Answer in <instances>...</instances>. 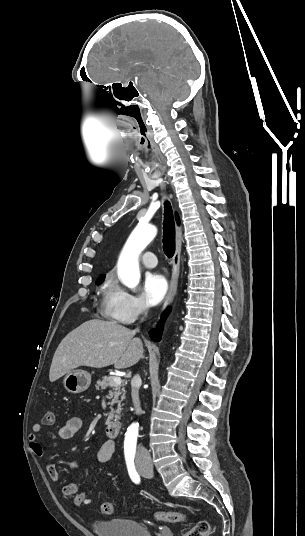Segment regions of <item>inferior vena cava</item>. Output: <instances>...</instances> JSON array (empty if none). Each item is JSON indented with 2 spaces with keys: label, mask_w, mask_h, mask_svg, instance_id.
<instances>
[{
  "label": "inferior vena cava",
  "mask_w": 305,
  "mask_h": 536,
  "mask_svg": "<svg viewBox=\"0 0 305 536\" xmlns=\"http://www.w3.org/2000/svg\"><path fill=\"white\" fill-rule=\"evenodd\" d=\"M145 310H147L146 306H143V308H141L139 314H143V312H145ZM134 334L135 332H139L138 328H136V330H133ZM136 380H140V376H134L133 380H132V384L133 382H136ZM131 396H132V400H133V404H134V408H135V412L136 414H142V410L140 408V400H139V392H138V388H134V386H132V392H131ZM137 460H142V462H144V460H150V456H149V452H147L146 448H143V446H140L138 452H137V456H136Z\"/></svg>",
  "instance_id": "1"
}]
</instances>
